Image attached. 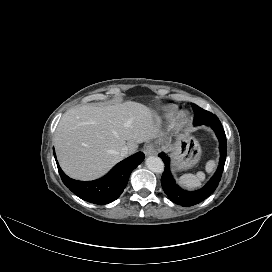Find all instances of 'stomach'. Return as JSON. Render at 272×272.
<instances>
[{"label":"stomach","instance_id":"stomach-1","mask_svg":"<svg viewBox=\"0 0 272 272\" xmlns=\"http://www.w3.org/2000/svg\"><path fill=\"white\" fill-rule=\"evenodd\" d=\"M175 170L188 169L195 166L201 157L198 141L189 133L182 134L171 150Z\"/></svg>","mask_w":272,"mask_h":272}]
</instances>
